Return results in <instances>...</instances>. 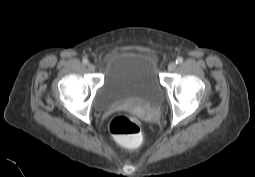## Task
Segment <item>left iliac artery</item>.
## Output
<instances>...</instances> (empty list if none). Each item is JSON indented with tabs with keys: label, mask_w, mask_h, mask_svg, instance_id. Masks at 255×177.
Here are the masks:
<instances>
[{
	"label": "left iliac artery",
	"mask_w": 255,
	"mask_h": 177,
	"mask_svg": "<svg viewBox=\"0 0 255 177\" xmlns=\"http://www.w3.org/2000/svg\"><path fill=\"white\" fill-rule=\"evenodd\" d=\"M182 62H183V58L182 57H178L176 59V64H182Z\"/></svg>",
	"instance_id": "left-iliac-artery-1"
}]
</instances>
